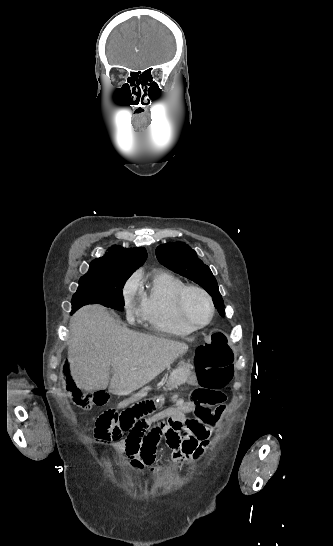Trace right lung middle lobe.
Returning <instances> with one entry per match:
<instances>
[{
	"mask_svg": "<svg viewBox=\"0 0 333 546\" xmlns=\"http://www.w3.org/2000/svg\"><path fill=\"white\" fill-rule=\"evenodd\" d=\"M133 271L110 268L90 269L79 280L72 298V313L87 304H101L123 311V287Z\"/></svg>",
	"mask_w": 333,
	"mask_h": 546,
	"instance_id": "obj_1",
	"label": "right lung middle lobe"
}]
</instances>
